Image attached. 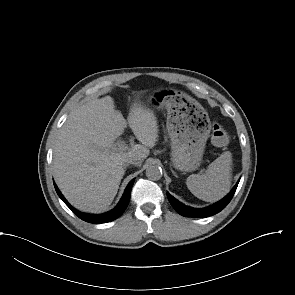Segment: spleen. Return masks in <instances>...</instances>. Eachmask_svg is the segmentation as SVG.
Here are the masks:
<instances>
[{
	"label": "spleen",
	"instance_id": "obj_1",
	"mask_svg": "<svg viewBox=\"0 0 295 295\" xmlns=\"http://www.w3.org/2000/svg\"><path fill=\"white\" fill-rule=\"evenodd\" d=\"M231 172L232 155L227 151L209 164L205 174L190 175L186 180V185L197 198L206 202H215L229 192Z\"/></svg>",
	"mask_w": 295,
	"mask_h": 295
}]
</instances>
